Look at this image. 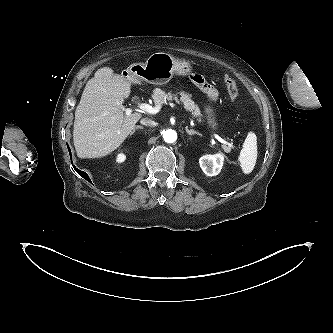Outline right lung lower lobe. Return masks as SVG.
I'll return each instance as SVG.
<instances>
[{
	"label": "right lung lower lobe",
	"instance_id": "obj_1",
	"mask_svg": "<svg viewBox=\"0 0 333 333\" xmlns=\"http://www.w3.org/2000/svg\"><path fill=\"white\" fill-rule=\"evenodd\" d=\"M68 150H69V153H70V155H71V151H70L69 146H68ZM73 167H74L75 171H76L79 175H81L84 179H86L87 181H89V182L91 183V180H90L89 176L87 175V173H85L84 171H81V170L77 169L75 166H73Z\"/></svg>",
	"mask_w": 333,
	"mask_h": 333
}]
</instances>
